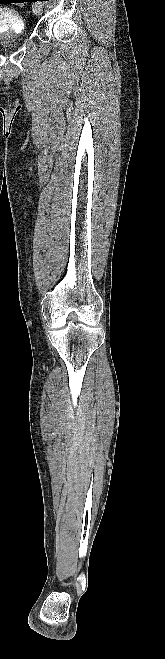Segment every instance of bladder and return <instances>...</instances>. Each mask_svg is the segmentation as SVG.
Here are the masks:
<instances>
[{"label":"bladder","mask_w":165,"mask_h":659,"mask_svg":"<svg viewBox=\"0 0 165 659\" xmlns=\"http://www.w3.org/2000/svg\"><path fill=\"white\" fill-rule=\"evenodd\" d=\"M3 25L5 28L0 29V40L4 39H18L26 35V29L23 26L22 22L16 19H5L1 20L0 26Z\"/></svg>","instance_id":"bladder-1"}]
</instances>
